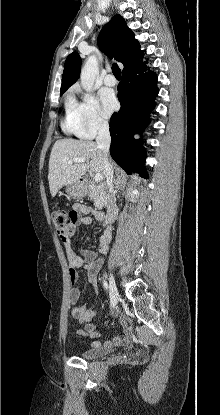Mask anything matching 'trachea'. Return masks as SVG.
<instances>
[{"label": "trachea", "instance_id": "1", "mask_svg": "<svg viewBox=\"0 0 220 415\" xmlns=\"http://www.w3.org/2000/svg\"><path fill=\"white\" fill-rule=\"evenodd\" d=\"M112 72L117 79L121 78V70L116 63L112 65Z\"/></svg>", "mask_w": 220, "mask_h": 415}]
</instances>
